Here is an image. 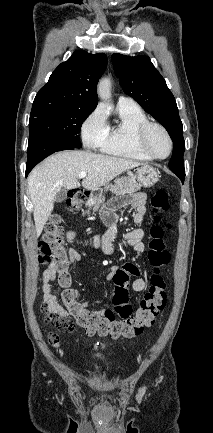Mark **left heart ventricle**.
Here are the masks:
<instances>
[{
  "label": "left heart ventricle",
  "mask_w": 213,
  "mask_h": 433,
  "mask_svg": "<svg viewBox=\"0 0 213 433\" xmlns=\"http://www.w3.org/2000/svg\"><path fill=\"white\" fill-rule=\"evenodd\" d=\"M148 144L152 151L159 156H165L169 152V142L164 133L159 129H152L150 131Z\"/></svg>",
  "instance_id": "left-heart-ventricle-1"
}]
</instances>
